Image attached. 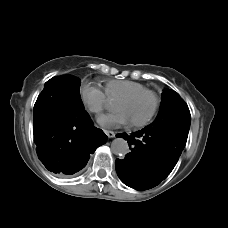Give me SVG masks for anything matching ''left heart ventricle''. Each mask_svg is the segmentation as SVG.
Here are the masks:
<instances>
[{
    "label": "left heart ventricle",
    "mask_w": 228,
    "mask_h": 228,
    "mask_svg": "<svg viewBox=\"0 0 228 228\" xmlns=\"http://www.w3.org/2000/svg\"><path fill=\"white\" fill-rule=\"evenodd\" d=\"M152 106V98L143 96L127 107V113L135 119L145 116Z\"/></svg>",
    "instance_id": "obj_1"
}]
</instances>
